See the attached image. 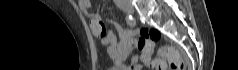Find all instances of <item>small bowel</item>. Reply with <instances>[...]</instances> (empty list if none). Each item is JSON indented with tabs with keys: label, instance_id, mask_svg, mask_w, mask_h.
<instances>
[{
	"label": "small bowel",
	"instance_id": "c3829d8e",
	"mask_svg": "<svg viewBox=\"0 0 238 70\" xmlns=\"http://www.w3.org/2000/svg\"><path fill=\"white\" fill-rule=\"evenodd\" d=\"M78 5L81 11L88 17L89 26L92 34L101 40L102 44L107 45V52L111 60L114 62V67L118 70H141L143 64L148 63L149 57H146L142 48L140 47V41L138 46L142 50L140 56L135 55L132 58L131 63H127L126 60L133 50L136 43V32L127 28H124L115 21H110L115 31L109 29L106 25V20L99 14L90 11L91 3L89 0H79Z\"/></svg>",
	"mask_w": 238,
	"mask_h": 70
}]
</instances>
